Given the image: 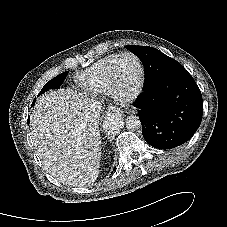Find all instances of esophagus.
I'll list each match as a JSON object with an SVG mask.
<instances>
[{
    "instance_id": "obj_1",
    "label": "esophagus",
    "mask_w": 227,
    "mask_h": 227,
    "mask_svg": "<svg viewBox=\"0 0 227 227\" xmlns=\"http://www.w3.org/2000/svg\"><path fill=\"white\" fill-rule=\"evenodd\" d=\"M110 115H115L116 117H119V118H121L122 116L120 110L114 109V108H111V110L107 112V116H110Z\"/></svg>"
}]
</instances>
